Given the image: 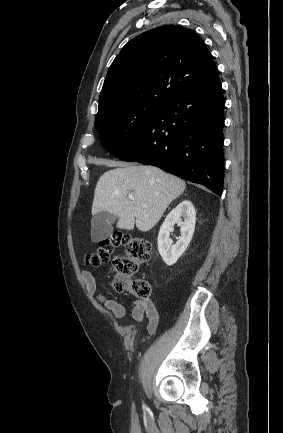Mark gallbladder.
<instances>
[{
	"instance_id": "bac80fb5",
	"label": "gallbladder",
	"mask_w": 283,
	"mask_h": 433,
	"mask_svg": "<svg viewBox=\"0 0 283 433\" xmlns=\"http://www.w3.org/2000/svg\"><path fill=\"white\" fill-rule=\"evenodd\" d=\"M117 219V214H112V212H107V210H101L97 214H93L91 221V239L93 243H99V241H104L112 235L113 223Z\"/></svg>"
}]
</instances>
